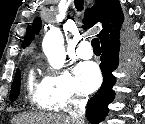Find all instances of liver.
<instances>
[{
	"mask_svg": "<svg viewBox=\"0 0 145 124\" xmlns=\"http://www.w3.org/2000/svg\"><path fill=\"white\" fill-rule=\"evenodd\" d=\"M12 124H74L70 118L54 114H21L12 120Z\"/></svg>",
	"mask_w": 145,
	"mask_h": 124,
	"instance_id": "6515ba94",
	"label": "liver"
}]
</instances>
